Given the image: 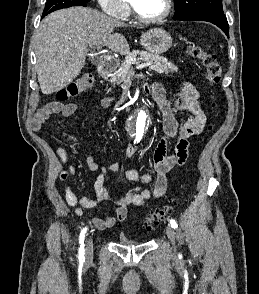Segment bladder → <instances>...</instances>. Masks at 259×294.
<instances>
[{"mask_svg": "<svg viewBox=\"0 0 259 294\" xmlns=\"http://www.w3.org/2000/svg\"><path fill=\"white\" fill-rule=\"evenodd\" d=\"M118 243L121 244V245H124V246H135V245L139 244V243L131 241V240L127 239V238H119Z\"/></svg>", "mask_w": 259, "mask_h": 294, "instance_id": "1", "label": "bladder"}]
</instances>
